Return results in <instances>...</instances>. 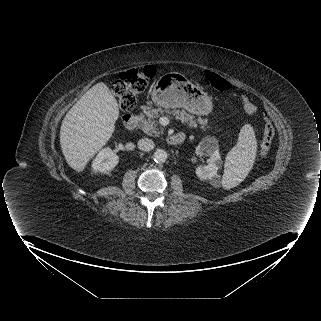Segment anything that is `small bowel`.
<instances>
[{
  "instance_id": "c3829d8e",
  "label": "small bowel",
  "mask_w": 321,
  "mask_h": 321,
  "mask_svg": "<svg viewBox=\"0 0 321 321\" xmlns=\"http://www.w3.org/2000/svg\"><path fill=\"white\" fill-rule=\"evenodd\" d=\"M238 98L247 113L249 114L256 113V106L251 102V100L245 94H240Z\"/></svg>"
}]
</instances>
